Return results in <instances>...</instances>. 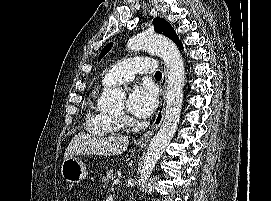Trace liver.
Wrapping results in <instances>:
<instances>
[{"instance_id": "6515ba94", "label": "liver", "mask_w": 271, "mask_h": 201, "mask_svg": "<svg viewBox=\"0 0 271 201\" xmlns=\"http://www.w3.org/2000/svg\"><path fill=\"white\" fill-rule=\"evenodd\" d=\"M127 136L98 137L91 134L79 133L69 143L64 160L77 155H119L129 146Z\"/></svg>"}]
</instances>
